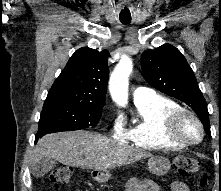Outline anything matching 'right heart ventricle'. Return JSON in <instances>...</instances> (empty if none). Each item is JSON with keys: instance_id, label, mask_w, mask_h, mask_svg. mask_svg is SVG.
<instances>
[{"instance_id": "right-heart-ventricle-1", "label": "right heart ventricle", "mask_w": 221, "mask_h": 191, "mask_svg": "<svg viewBox=\"0 0 221 191\" xmlns=\"http://www.w3.org/2000/svg\"><path fill=\"white\" fill-rule=\"evenodd\" d=\"M135 106L138 118L125 129V139L132 145L147 150L186 147V144L171 140L165 133L166 117L181 108L174 100L156 94L153 99L135 103Z\"/></svg>"}]
</instances>
